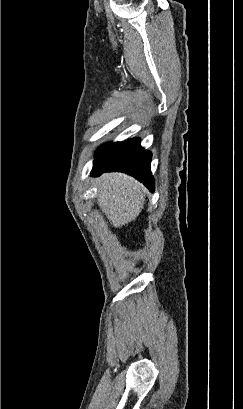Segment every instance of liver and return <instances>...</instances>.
I'll use <instances>...</instances> for the list:
<instances>
[{"label": "liver", "mask_w": 243, "mask_h": 409, "mask_svg": "<svg viewBox=\"0 0 243 409\" xmlns=\"http://www.w3.org/2000/svg\"><path fill=\"white\" fill-rule=\"evenodd\" d=\"M94 185L99 207L115 228L135 220L143 209L146 188L131 176L106 173Z\"/></svg>", "instance_id": "6515ba94"}]
</instances>
